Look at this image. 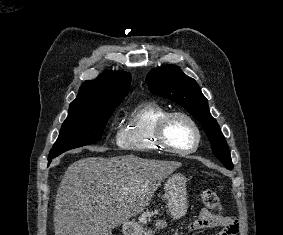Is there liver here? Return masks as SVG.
I'll use <instances>...</instances> for the list:
<instances>
[{
  "label": "liver",
  "instance_id": "6515ba94",
  "mask_svg": "<svg viewBox=\"0 0 283 235\" xmlns=\"http://www.w3.org/2000/svg\"><path fill=\"white\" fill-rule=\"evenodd\" d=\"M181 162L135 155L87 157L73 162L57 190L55 235H112V229L151 202Z\"/></svg>",
  "mask_w": 283,
  "mask_h": 235
}]
</instances>
